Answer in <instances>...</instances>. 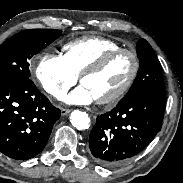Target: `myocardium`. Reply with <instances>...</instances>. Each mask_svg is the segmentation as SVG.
<instances>
[{
	"label": "myocardium",
	"instance_id": "myocardium-1",
	"mask_svg": "<svg viewBox=\"0 0 183 183\" xmlns=\"http://www.w3.org/2000/svg\"><path fill=\"white\" fill-rule=\"evenodd\" d=\"M120 54H128L132 58V61H133L132 71H131L127 81L125 82V84L118 91L109 95L106 98L97 99L96 102L98 104H101V105L113 104V103L119 101L121 98H123L127 94V92L131 89L132 85L134 84V82L137 78V75H138V72L140 69V60H139L137 53L132 49L121 48V47L117 48L115 50H112V51L106 53L102 57H100L96 62L91 64L89 67H87L80 75V82L82 83V81L85 77L100 72L115 57H117Z\"/></svg>",
	"mask_w": 183,
	"mask_h": 183
}]
</instances>
